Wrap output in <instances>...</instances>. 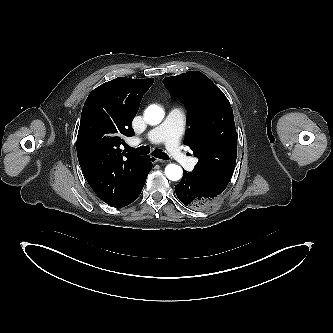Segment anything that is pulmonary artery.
<instances>
[{
    "label": "pulmonary artery",
    "instance_id": "1",
    "mask_svg": "<svg viewBox=\"0 0 333 333\" xmlns=\"http://www.w3.org/2000/svg\"><path fill=\"white\" fill-rule=\"evenodd\" d=\"M185 112L175 107L169 111L165 120L157 127L153 128L146 135V139L152 143H164L169 154L185 169L192 170L196 160L186 156L179 144L185 128ZM140 140L138 139L137 142Z\"/></svg>",
    "mask_w": 333,
    "mask_h": 333
}]
</instances>
